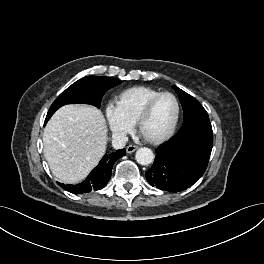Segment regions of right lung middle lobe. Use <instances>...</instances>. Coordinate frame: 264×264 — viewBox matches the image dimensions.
Listing matches in <instances>:
<instances>
[{
	"instance_id": "right-lung-middle-lobe-1",
	"label": "right lung middle lobe",
	"mask_w": 264,
	"mask_h": 264,
	"mask_svg": "<svg viewBox=\"0 0 264 264\" xmlns=\"http://www.w3.org/2000/svg\"><path fill=\"white\" fill-rule=\"evenodd\" d=\"M121 81L111 77L87 76L84 77L64 92H62L51 105L45 122L61 106L72 103H86L100 107L102 96L107 90L120 84Z\"/></svg>"
}]
</instances>
